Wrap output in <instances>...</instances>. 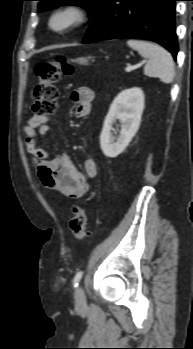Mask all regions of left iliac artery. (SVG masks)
Instances as JSON below:
<instances>
[{
  "label": "left iliac artery",
  "mask_w": 193,
  "mask_h": 349,
  "mask_svg": "<svg viewBox=\"0 0 193 349\" xmlns=\"http://www.w3.org/2000/svg\"><path fill=\"white\" fill-rule=\"evenodd\" d=\"M83 276V271H78L74 277V280H73V286L74 288H76L78 285H79V282L81 280Z\"/></svg>",
  "instance_id": "1"
}]
</instances>
